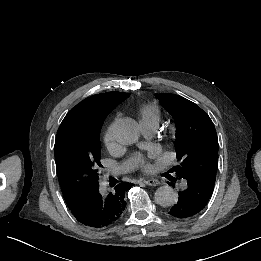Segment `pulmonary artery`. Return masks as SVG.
<instances>
[{
    "mask_svg": "<svg viewBox=\"0 0 261 261\" xmlns=\"http://www.w3.org/2000/svg\"><path fill=\"white\" fill-rule=\"evenodd\" d=\"M141 127L144 132L146 133H153L156 129V125L153 123H141ZM122 171L121 168H117L112 171V174L117 175Z\"/></svg>",
    "mask_w": 261,
    "mask_h": 261,
    "instance_id": "obj_1",
    "label": "pulmonary artery"
}]
</instances>
